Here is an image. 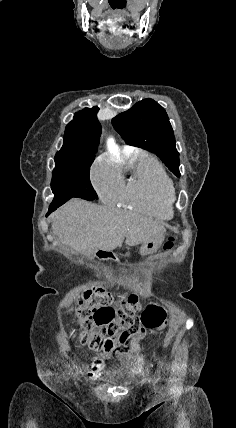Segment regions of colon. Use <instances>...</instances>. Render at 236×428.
<instances>
[{
    "mask_svg": "<svg viewBox=\"0 0 236 428\" xmlns=\"http://www.w3.org/2000/svg\"><path fill=\"white\" fill-rule=\"evenodd\" d=\"M174 238L170 237L164 249L170 250ZM106 286L95 285L81 295L77 309L80 327V342L92 350L111 352L119 348L130 337L141 331H152L165 324V312L153 305L148 306L140 318V309L135 294L123 295L117 303Z\"/></svg>",
    "mask_w": 236,
    "mask_h": 428,
    "instance_id": "1",
    "label": "colon"
}]
</instances>
